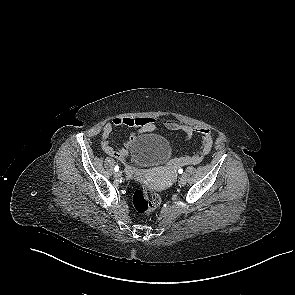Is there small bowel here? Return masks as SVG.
Instances as JSON below:
<instances>
[{
    "label": "small bowel",
    "mask_w": 295,
    "mask_h": 295,
    "mask_svg": "<svg viewBox=\"0 0 295 295\" xmlns=\"http://www.w3.org/2000/svg\"><path fill=\"white\" fill-rule=\"evenodd\" d=\"M162 123L168 130L183 132L186 140H190L194 134H199L201 137V147L199 151L193 155L177 158L175 160L177 165L185 166L199 164L202 162L203 158L210 153L213 146V137L209 129L178 123L171 119H165L162 121ZM114 127H127L133 129L129 139L125 141L124 147L122 148H114L109 143V137ZM156 129L157 123L154 118L116 117L103 126L101 133V147L107 155L125 162L129 155V147L134 142L136 136L146 132L155 131Z\"/></svg>",
    "instance_id": "1"
}]
</instances>
